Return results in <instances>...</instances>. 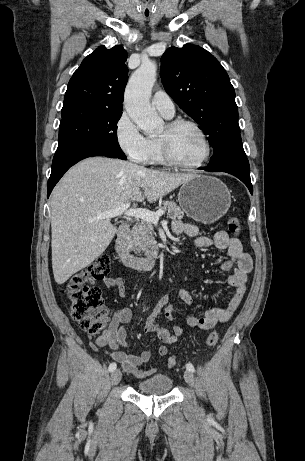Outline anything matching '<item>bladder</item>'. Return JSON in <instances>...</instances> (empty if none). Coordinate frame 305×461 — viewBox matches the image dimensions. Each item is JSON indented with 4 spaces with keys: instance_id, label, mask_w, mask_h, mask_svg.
I'll list each match as a JSON object with an SVG mask.
<instances>
[{
    "instance_id": "bladder-1",
    "label": "bladder",
    "mask_w": 305,
    "mask_h": 461,
    "mask_svg": "<svg viewBox=\"0 0 305 461\" xmlns=\"http://www.w3.org/2000/svg\"><path fill=\"white\" fill-rule=\"evenodd\" d=\"M173 381L166 374H155L137 383L136 388L139 393L146 395L167 394L171 391Z\"/></svg>"
}]
</instances>
